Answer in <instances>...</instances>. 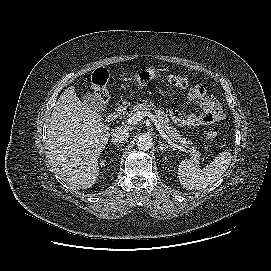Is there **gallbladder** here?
I'll list each match as a JSON object with an SVG mask.
<instances>
[{
  "mask_svg": "<svg viewBox=\"0 0 271 271\" xmlns=\"http://www.w3.org/2000/svg\"><path fill=\"white\" fill-rule=\"evenodd\" d=\"M82 100L88 107L98 112H102L106 109V106L101 102L99 96L94 93L87 92L82 95Z\"/></svg>",
  "mask_w": 271,
  "mask_h": 271,
  "instance_id": "1",
  "label": "gallbladder"
}]
</instances>
